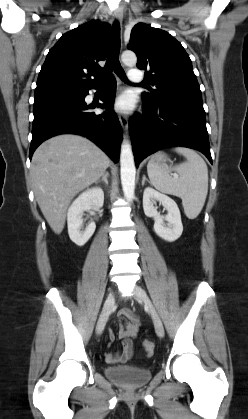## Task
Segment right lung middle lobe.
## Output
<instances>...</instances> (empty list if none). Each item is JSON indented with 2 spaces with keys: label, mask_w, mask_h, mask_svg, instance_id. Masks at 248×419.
<instances>
[{
  "label": "right lung middle lobe",
  "mask_w": 248,
  "mask_h": 419,
  "mask_svg": "<svg viewBox=\"0 0 248 419\" xmlns=\"http://www.w3.org/2000/svg\"><path fill=\"white\" fill-rule=\"evenodd\" d=\"M69 93H72V94H78V93H80V92H69Z\"/></svg>",
  "instance_id": "dd1d6c3e"
}]
</instances>
